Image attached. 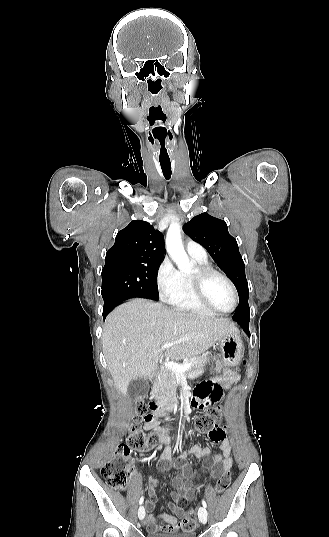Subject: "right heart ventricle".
Here are the masks:
<instances>
[{
	"label": "right heart ventricle",
	"instance_id": "e07e8e85",
	"mask_svg": "<svg viewBox=\"0 0 329 537\" xmlns=\"http://www.w3.org/2000/svg\"><path fill=\"white\" fill-rule=\"evenodd\" d=\"M193 259L199 265H207L206 259H198L194 257ZM181 277L182 288L180 292L172 300L169 301L170 304L180 311L192 312L203 315L211 314V311L205 306H203L193 294L188 276L181 275Z\"/></svg>",
	"mask_w": 329,
	"mask_h": 537
}]
</instances>
